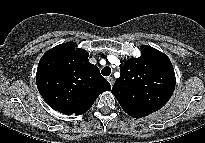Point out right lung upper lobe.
Returning <instances> with one entry per match:
<instances>
[{
    "mask_svg": "<svg viewBox=\"0 0 205 143\" xmlns=\"http://www.w3.org/2000/svg\"><path fill=\"white\" fill-rule=\"evenodd\" d=\"M37 88L54 110L81 115L88 111L104 91L111 90L99 68L88 60V53L75 49L73 42L57 45L40 59Z\"/></svg>",
    "mask_w": 205,
    "mask_h": 143,
    "instance_id": "1",
    "label": "right lung upper lobe"
}]
</instances>
